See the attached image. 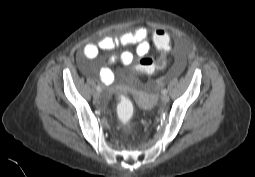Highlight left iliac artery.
I'll return each mask as SVG.
<instances>
[{
  "instance_id": "left-iliac-artery-1",
  "label": "left iliac artery",
  "mask_w": 255,
  "mask_h": 177,
  "mask_svg": "<svg viewBox=\"0 0 255 177\" xmlns=\"http://www.w3.org/2000/svg\"><path fill=\"white\" fill-rule=\"evenodd\" d=\"M162 94H167V90H166V89H163V90H162Z\"/></svg>"
}]
</instances>
